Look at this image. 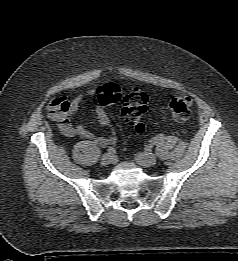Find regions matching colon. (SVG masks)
Wrapping results in <instances>:
<instances>
[{
  "label": "colon",
  "instance_id": "1",
  "mask_svg": "<svg viewBox=\"0 0 238 261\" xmlns=\"http://www.w3.org/2000/svg\"><path fill=\"white\" fill-rule=\"evenodd\" d=\"M97 97L100 106L106 107L111 104L122 101V114L127 123L138 134L145 132V125L142 122L143 115L147 110L148 95L140 89L135 88L126 93H122L118 85L108 83L98 88ZM169 108L173 116L179 121H185L189 118L192 110V100L188 96L175 95L169 100ZM67 99L57 97L49 104L50 114L56 116L67 109Z\"/></svg>",
  "mask_w": 238,
  "mask_h": 261
}]
</instances>
